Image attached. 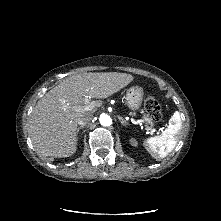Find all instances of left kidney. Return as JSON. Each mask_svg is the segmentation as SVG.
I'll return each mask as SVG.
<instances>
[{"label":"left kidney","mask_w":221,"mask_h":221,"mask_svg":"<svg viewBox=\"0 0 221 221\" xmlns=\"http://www.w3.org/2000/svg\"><path fill=\"white\" fill-rule=\"evenodd\" d=\"M130 142H131V144H132L133 146H136V145H137L136 140H135V139H133V138L130 140Z\"/></svg>","instance_id":"obj_1"}]
</instances>
